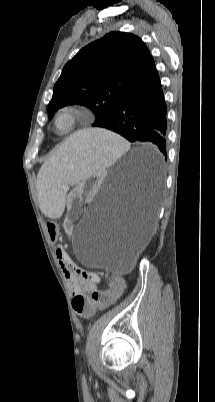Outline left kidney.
<instances>
[{
    "instance_id": "1",
    "label": "left kidney",
    "mask_w": 215,
    "mask_h": 402,
    "mask_svg": "<svg viewBox=\"0 0 215 402\" xmlns=\"http://www.w3.org/2000/svg\"><path fill=\"white\" fill-rule=\"evenodd\" d=\"M104 172L99 170L95 175H86L82 179V184H76L69 193L68 203L72 205L71 214L77 215L81 200H93L94 193H98L100 180H102ZM65 229H75V220H65L63 222Z\"/></svg>"
}]
</instances>
